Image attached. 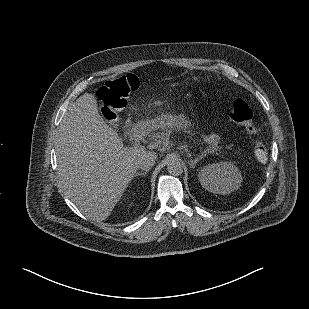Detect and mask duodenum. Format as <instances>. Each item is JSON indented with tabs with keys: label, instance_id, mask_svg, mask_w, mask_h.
<instances>
[{
	"label": "duodenum",
	"instance_id": "410a0bca",
	"mask_svg": "<svg viewBox=\"0 0 309 309\" xmlns=\"http://www.w3.org/2000/svg\"><path fill=\"white\" fill-rule=\"evenodd\" d=\"M151 130V125L147 123L137 124L132 128V137L134 139L144 138Z\"/></svg>",
	"mask_w": 309,
	"mask_h": 309
}]
</instances>
